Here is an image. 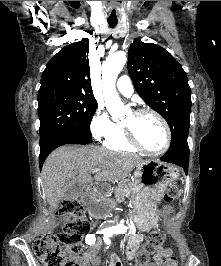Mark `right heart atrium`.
Wrapping results in <instances>:
<instances>
[{"mask_svg":"<svg viewBox=\"0 0 221 266\" xmlns=\"http://www.w3.org/2000/svg\"><path fill=\"white\" fill-rule=\"evenodd\" d=\"M116 128V124L110 119L102 106H98L90 121V131L94 139L105 140Z\"/></svg>","mask_w":221,"mask_h":266,"instance_id":"d8ad5b80","label":"right heart atrium"}]
</instances>
